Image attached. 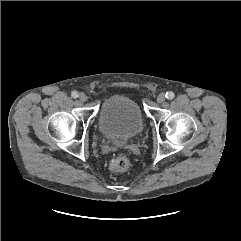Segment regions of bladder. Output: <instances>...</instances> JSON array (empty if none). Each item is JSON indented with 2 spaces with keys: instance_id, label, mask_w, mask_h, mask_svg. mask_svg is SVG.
<instances>
[{
  "instance_id": "1",
  "label": "bladder",
  "mask_w": 241,
  "mask_h": 241,
  "mask_svg": "<svg viewBox=\"0 0 241 241\" xmlns=\"http://www.w3.org/2000/svg\"><path fill=\"white\" fill-rule=\"evenodd\" d=\"M144 123L138 104L126 95H113L99 108L98 128L102 136L115 143L124 144L137 137Z\"/></svg>"
}]
</instances>
